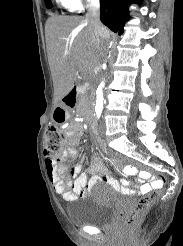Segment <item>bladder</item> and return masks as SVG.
Segmentation results:
<instances>
[{
    "mask_svg": "<svg viewBox=\"0 0 183 246\" xmlns=\"http://www.w3.org/2000/svg\"><path fill=\"white\" fill-rule=\"evenodd\" d=\"M118 206L113 190L104 184L96 187L94 193L80 206L69 208L68 219L77 227H107L112 221Z\"/></svg>",
    "mask_w": 183,
    "mask_h": 246,
    "instance_id": "obj_1",
    "label": "bladder"
}]
</instances>
